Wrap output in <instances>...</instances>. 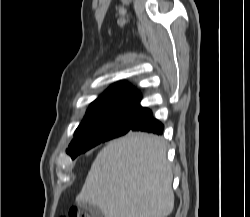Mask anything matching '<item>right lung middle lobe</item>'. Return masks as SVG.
Instances as JSON below:
<instances>
[{"label":"right lung middle lobe","instance_id":"1","mask_svg":"<svg viewBox=\"0 0 250 217\" xmlns=\"http://www.w3.org/2000/svg\"><path fill=\"white\" fill-rule=\"evenodd\" d=\"M140 108L125 107L85 116L74 133L67 153L74 159L102 142L126 134L136 121Z\"/></svg>","mask_w":250,"mask_h":217}]
</instances>
